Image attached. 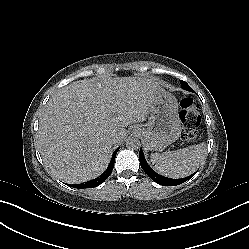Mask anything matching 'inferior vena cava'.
Wrapping results in <instances>:
<instances>
[{
    "mask_svg": "<svg viewBox=\"0 0 249 249\" xmlns=\"http://www.w3.org/2000/svg\"><path fill=\"white\" fill-rule=\"evenodd\" d=\"M112 140H113L114 142L117 141V137H114Z\"/></svg>",
    "mask_w": 249,
    "mask_h": 249,
    "instance_id": "1",
    "label": "inferior vena cava"
}]
</instances>
